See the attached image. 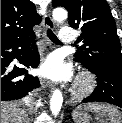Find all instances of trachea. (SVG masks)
<instances>
[{
    "mask_svg": "<svg viewBox=\"0 0 122 123\" xmlns=\"http://www.w3.org/2000/svg\"><path fill=\"white\" fill-rule=\"evenodd\" d=\"M47 36L49 37V39L56 43V44H61V42L59 41V39L57 38V36L53 33V31L51 29L47 30ZM36 42V41H35ZM34 42V43H35Z\"/></svg>",
    "mask_w": 122,
    "mask_h": 123,
    "instance_id": "obj_1",
    "label": "trachea"
}]
</instances>
